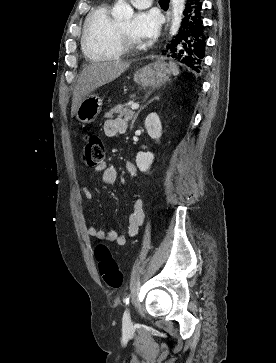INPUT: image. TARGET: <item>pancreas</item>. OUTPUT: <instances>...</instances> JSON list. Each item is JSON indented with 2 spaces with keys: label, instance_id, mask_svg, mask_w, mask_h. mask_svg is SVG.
<instances>
[{
  "label": "pancreas",
  "instance_id": "pancreas-1",
  "mask_svg": "<svg viewBox=\"0 0 276 363\" xmlns=\"http://www.w3.org/2000/svg\"><path fill=\"white\" fill-rule=\"evenodd\" d=\"M130 103L118 104L105 114V117H113V114H118L125 121H130L134 117V111L130 109Z\"/></svg>",
  "mask_w": 276,
  "mask_h": 363
}]
</instances>
